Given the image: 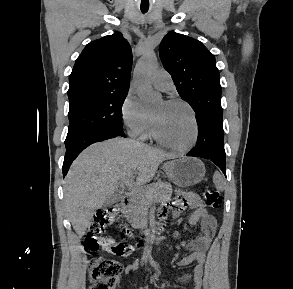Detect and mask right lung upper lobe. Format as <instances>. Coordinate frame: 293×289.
<instances>
[{"label":"right lung upper lobe","instance_id":"cb5924a9","mask_svg":"<svg viewBox=\"0 0 293 289\" xmlns=\"http://www.w3.org/2000/svg\"><path fill=\"white\" fill-rule=\"evenodd\" d=\"M131 47L116 32L86 45L69 76V101L85 96L127 94Z\"/></svg>","mask_w":293,"mask_h":289}]
</instances>
